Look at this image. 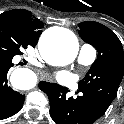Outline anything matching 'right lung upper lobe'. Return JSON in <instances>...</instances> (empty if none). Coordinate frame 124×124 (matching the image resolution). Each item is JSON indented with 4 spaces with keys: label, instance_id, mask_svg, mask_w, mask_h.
I'll return each mask as SVG.
<instances>
[{
    "label": "right lung upper lobe",
    "instance_id": "cb5924a9",
    "mask_svg": "<svg viewBox=\"0 0 124 124\" xmlns=\"http://www.w3.org/2000/svg\"><path fill=\"white\" fill-rule=\"evenodd\" d=\"M3 20L18 29L27 39L30 46L35 47L41 35L43 23L35 18L30 11L14 9L0 15Z\"/></svg>",
    "mask_w": 124,
    "mask_h": 124
}]
</instances>
